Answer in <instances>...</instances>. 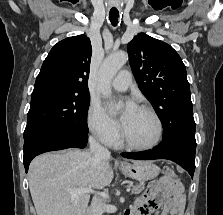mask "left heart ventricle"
I'll return each instance as SVG.
<instances>
[{
    "mask_svg": "<svg viewBox=\"0 0 223 215\" xmlns=\"http://www.w3.org/2000/svg\"><path fill=\"white\" fill-rule=\"evenodd\" d=\"M121 130L125 141L139 146L150 144L156 135V126L152 117L137 108L121 125Z\"/></svg>",
    "mask_w": 223,
    "mask_h": 215,
    "instance_id": "b2bd125f",
    "label": "left heart ventricle"
}]
</instances>
